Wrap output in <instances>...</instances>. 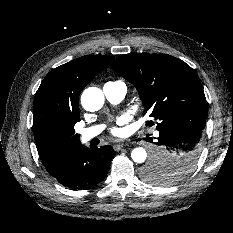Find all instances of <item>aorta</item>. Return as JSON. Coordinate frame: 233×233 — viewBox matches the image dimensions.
<instances>
[{"mask_svg": "<svg viewBox=\"0 0 233 233\" xmlns=\"http://www.w3.org/2000/svg\"><path fill=\"white\" fill-rule=\"evenodd\" d=\"M81 104L87 111H98L104 105V94L97 87H89L82 93ZM131 158L136 163H143L147 158V152L142 147L134 148L131 153Z\"/></svg>", "mask_w": 233, "mask_h": 233, "instance_id": "obj_1", "label": "aorta"}]
</instances>
